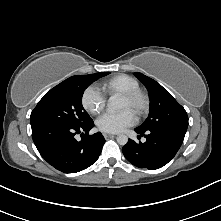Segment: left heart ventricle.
<instances>
[{"instance_id": "obj_1", "label": "left heart ventricle", "mask_w": 221, "mask_h": 221, "mask_svg": "<svg viewBox=\"0 0 221 221\" xmlns=\"http://www.w3.org/2000/svg\"><path fill=\"white\" fill-rule=\"evenodd\" d=\"M120 109L124 110V109H129L132 112H134V105L130 102H128L127 100L121 98L120 100Z\"/></svg>"}]
</instances>
